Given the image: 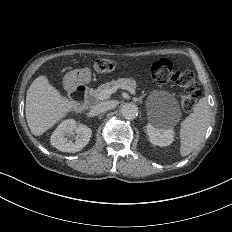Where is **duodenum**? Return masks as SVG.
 Wrapping results in <instances>:
<instances>
[{
	"label": "duodenum",
	"mask_w": 232,
	"mask_h": 232,
	"mask_svg": "<svg viewBox=\"0 0 232 232\" xmlns=\"http://www.w3.org/2000/svg\"><path fill=\"white\" fill-rule=\"evenodd\" d=\"M66 88L70 92L77 108H82L85 105L88 87L79 78L70 79L66 83Z\"/></svg>",
	"instance_id": "1"
}]
</instances>
